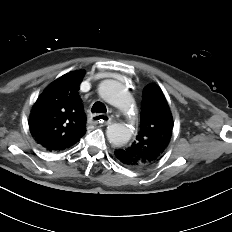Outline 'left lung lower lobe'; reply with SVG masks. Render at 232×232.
<instances>
[{
  "label": "left lung lower lobe",
  "instance_id": "left-lung-lower-lobe-1",
  "mask_svg": "<svg viewBox=\"0 0 232 232\" xmlns=\"http://www.w3.org/2000/svg\"><path fill=\"white\" fill-rule=\"evenodd\" d=\"M115 158L123 165L134 168L135 161L125 153L123 149H117L115 151Z\"/></svg>",
  "mask_w": 232,
  "mask_h": 232
}]
</instances>
